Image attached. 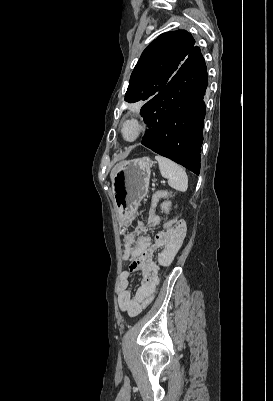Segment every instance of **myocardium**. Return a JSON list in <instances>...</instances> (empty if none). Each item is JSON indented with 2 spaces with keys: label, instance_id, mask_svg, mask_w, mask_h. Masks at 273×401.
Instances as JSON below:
<instances>
[{
  "label": "myocardium",
  "instance_id": "myocardium-1",
  "mask_svg": "<svg viewBox=\"0 0 273 401\" xmlns=\"http://www.w3.org/2000/svg\"><path fill=\"white\" fill-rule=\"evenodd\" d=\"M127 124H131L136 128V135L134 136V138L130 140L125 139L123 136V129ZM149 128H150V123L146 118L138 115H131L124 118L120 122L118 126L119 138L125 144H134L140 141L144 137V135L148 132Z\"/></svg>",
  "mask_w": 273,
  "mask_h": 401
}]
</instances>
